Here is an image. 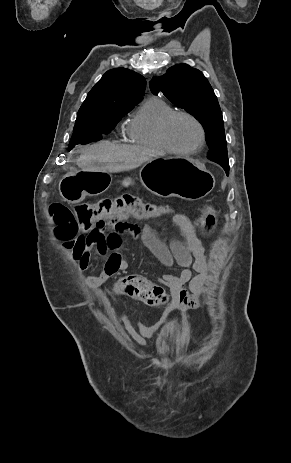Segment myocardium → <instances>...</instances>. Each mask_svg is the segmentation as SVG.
I'll use <instances>...</instances> for the list:
<instances>
[{"label":"myocardium","instance_id":"f54148a6","mask_svg":"<svg viewBox=\"0 0 291 463\" xmlns=\"http://www.w3.org/2000/svg\"><path fill=\"white\" fill-rule=\"evenodd\" d=\"M177 117H185L191 120L193 123H195V125L198 127L200 138L196 146L189 148V149H182V148L176 147L170 141L169 136H168V129L172 121L176 119ZM159 135H160V139L163 145L168 151L175 153V154H181V155H190V154H195L199 152L204 147L205 142H206V131L201 121L198 118H196L194 115L188 112H182V111H175L169 114L166 118H164L159 128Z\"/></svg>","mask_w":291,"mask_h":463}]
</instances>
